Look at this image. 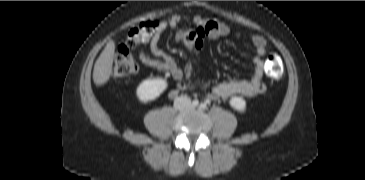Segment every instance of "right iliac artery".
<instances>
[{"instance_id": "1", "label": "right iliac artery", "mask_w": 365, "mask_h": 180, "mask_svg": "<svg viewBox=\"0 0 365 180\" xmlns=\"http://www.w3.org/2000/svg\"><path fill=\"white\" fill-rule=\"evenodd\" d=\"M192 105H193L194 107H197V106L199 105V101H198V100H193V101H192Z\"/></svg>"}]
</instances>
